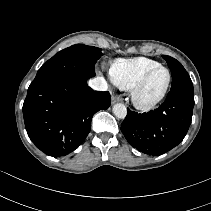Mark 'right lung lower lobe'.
<instances>
[{
    "mask_svg": "<svg viewBox=\"0 0 211 211\" xmlns=\"http://www.w3.org/2000/svg\"><path fill=\"white\" fill-rule=\"evenodd\" d=\"M110 103L109 92L93 91L85 79H34L23 104L25 128L38 149L50 156H65L85 140L93 115Z\"/></svg>",
    "mask_w": 211,
    "mask_h": 211,
    "instance_id": "98d812e1",
    "label": "right lung lower lobe"
}]
</instances>
